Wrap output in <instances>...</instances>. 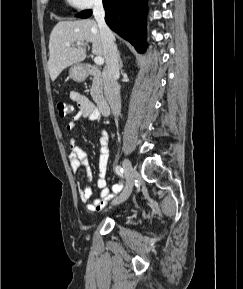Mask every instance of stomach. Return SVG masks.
I'll return each instance as SVG.
<instances>
[{"label": "stomach", "mask_w": 243, "mask_h": 289, "mask_svg": "<svg viewBox=\"0 0 243 289\" xmlns=\"http://www.w3.org/2000/svg\"><path fill=\"white\" fill-rule=\"evenodd\" d=\"M69 75L74 81H84L86 78V69L81 64H74L69 69Z\"/></svg>", "instance_id": "obj_1"}]
</instances>
